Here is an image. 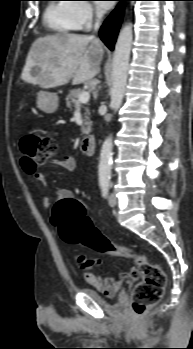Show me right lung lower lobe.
<instances>
[{
    "mask_svg": "<svg viewBox=\"0 0 193 349\" xmlns=\"http://www.w3.org/2000/svg\"><path fill=\"white\" fill-rule=\"evenodd\" d=\"M119 1H126V0H119ZM122 16H123V7L122 5H119L111 13V15L106 19V21L102 25L99 32L100 38L111 50H113L114 48L116 37L122 21Z\"/></svg>",
    "mask_w": 193,
    "mask_h": 349,
    "instance_id": "right-lung-lower-lobe-1",
    "label": "right lung lower lobe"
}]
</instances>
